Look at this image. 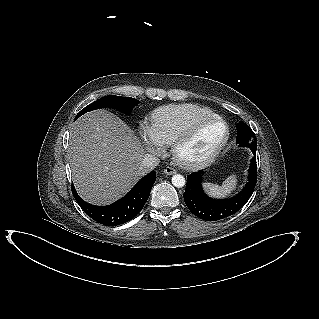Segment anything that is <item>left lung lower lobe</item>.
Returning a JSON list of instances; mask_svg holds the SVG:
<instances>
[{"mask_svg": "<svg viewBox=\"0 0 319 319\" xmlns=\"http://www.w3.org/2000/svg\"><path fill=\"white\" fill-rule=\"evenodd\" d=\"M250 149L254 158L249 167L248 182L236 196L230 199H212L203 192L201 185L203 171L193 172L187 176L184 201L195 216L206 221H217L235 214L246 204L257 182V148L251 147Z\"/></svg>", "mask_w": 319, "mask_h": 319, "instance_id": "1", "label": "left lung lower lobe"}]
</instances>
